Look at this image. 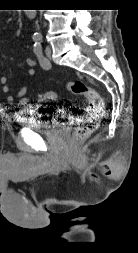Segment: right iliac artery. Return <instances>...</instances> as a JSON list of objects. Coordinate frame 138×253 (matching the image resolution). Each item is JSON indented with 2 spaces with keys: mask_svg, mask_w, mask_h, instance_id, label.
Returning a JSON list of instances; mask_svg holds the SVG:
<instances>
[{
  "mask_svg": "<svg viewBox=\"0 0 138 253\" xmlns=\"http://www.w3.org/2000/svg\"><path fill=\"white\" fill-rule=\"evenodd\" d=\"M33 40L37 43V42L40 40V37L35 36V37L33 38Z\"/></svg>",
  "mask_w": 138,
  "mask_h": 253,
  "instance_id": "82829eb1",
  "label": "right iliac artery"
}]
</instances>
